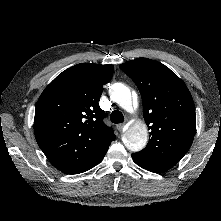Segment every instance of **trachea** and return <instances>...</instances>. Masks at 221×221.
<instances>
[{
	"label": "trachea",
	"instance_id": "3493384b",
	"mask_svg": "<svg viewBox=\"0 0 221 221\" xmlns=\"http://www.w3.org/2000/svg\"><path fill=\"white\" fill-rule=\"evenodd\" d=\"M110 119H111V122L118 124V123H122L124 121V116L119 110H114L111 113Z\"/></svg>",
	"mask_w": 221,
	"mask_h": 221
}]
</instances>
